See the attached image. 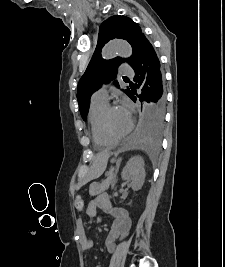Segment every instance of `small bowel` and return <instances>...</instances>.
I'll return each instance as SVG.
<instances>
[{
  "instance_id": "obj_1",
  "label": "small bowel",
  "mask_w": 225,
  "mask_h": 267,
  "mask_svg": "<svg viewBox=\"0 0 225 267\" xmlns=\"http://www.w3.org/2000/svg\"><path fill=\"white\" fill-rule=\"evenodd\" d=\"M98 210L109 213L114 217V221L110 227L109 233L105 240V246L108 252L113 253L116 249L115 241L117 239H123L127 236L131 220L126 210L120 207H114L108 196L101 194L94 198L87 206V214L94 216ZM93 246V242L90 237L84 236L82 239V251L86 252ZM101 267V266H96Z\"/></svg>"
}]
</instances>
